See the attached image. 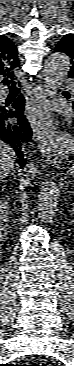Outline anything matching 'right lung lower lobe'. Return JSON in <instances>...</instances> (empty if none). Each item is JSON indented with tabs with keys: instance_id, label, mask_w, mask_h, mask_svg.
Segmentation results:
<instances>
[{
	"instance_id": "right-lung-lower-lobe-1",
	"label": "right lung lower lobe",
	"mask_w": 74,
	"mask_h": 366,
	"mask_svg": "<svg viewBox=\"0 0 74 366\" xmlns=\"http://www.w3.org/2000/svg\"><path fill=\"white\" fill-rule=\"evenodd\" d=\"M8 104L4 105V103L0 102V140L12 146L18 156L20 166L23 168L26 161L23 158L22 145L28 142L32 136L30 124L23 116L24 97L20 95L13 101L12 106L16 111L8 108ZM13 117H16L18 121L14 122L12 120Z\"/></svg>"
}]
</instances>
